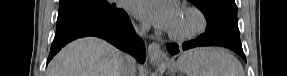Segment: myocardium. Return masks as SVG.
<instances>
[{"label": "myocardium", "instance_id": "1", "mask_svg": "<svg viewBox=\"0 0 287 76\" xmlns=\"http://www.w3.org/2000/svg\"><path fill=\"white\" fill-rule=\"evenodd\" d=\"M181 12L189 13L195 17V25L184 32H175L169 30L168 35L171 39L176 41H188L200 35L207 26V18L204 12L196 6L185 5L182 6Z\"/></svg>", "mask_w": 287, "mask_h": 76}]
</instances>
